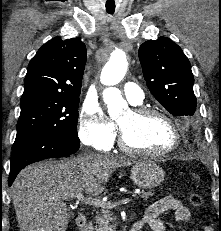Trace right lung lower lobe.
<instances>
[{
    "mask_svg": "<svg viewBox=\"0 0 221 231\" xmlns=\"http://www.w3.org/2000/svg\"><path fill=\"white\" fill-rule=\"evenodd\" d=\"M80 147L78 137L62 134L33 136L21 144L13 145L8 183H13L17 174L27 165L48 158L69 156Z\"/></svg>",
    "mask_w": 221,
    "mask_h": 231,
    "instance_id": "right-lung-lower-lobe-1",
    "label": "right lung lower lobe"
}]
</instances>
